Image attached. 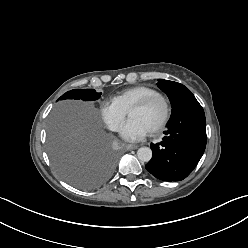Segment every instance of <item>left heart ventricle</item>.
Segmentation results:
<instances>
[{"mask_svg":"<svg viewBox=\"0 0 248 248\" xmlns=\"http://www.w3.org/2000/svg\"><path fill=\"white\" fill-rule=\"evenodd\" d=\"M162 114L163 106L160 102L157 101L146 109L132 110L128 115L130 119H136L140 121L149 131L159 122Z\"/></svg>","mask_w":248,"mask_h":248,"instance_id":"1","label":"left heart ventricle"}]
</instances>
